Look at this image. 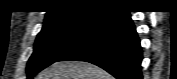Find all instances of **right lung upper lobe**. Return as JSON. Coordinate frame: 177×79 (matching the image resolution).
I'll return each instance as SVG.
<instances>
[{
  "instance_id": "right-lung-upper-lobe-1",
  "label": "right lung upper lobe",
  "mask_w": 177,
  "mask_h": 79,
  "mask_svg": "<svg viewBox=\"0 0 177 79\" xmlns=\"http://www.w3.org/2000/svg\"><path fill=\"white\" fill-rule=\"evenodd\" d=\"M57 3L55 10L47 12L44 25L88 16H103L118 8L102 0H66Z\"/></svg>"
}]
</instances>
